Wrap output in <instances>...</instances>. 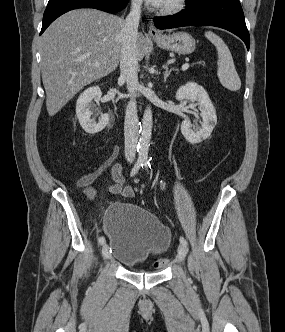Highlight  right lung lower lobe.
Returning <instances> with one entry per match:
<instances>
[{
    "mask_svg": "<svg viewBox=\"0 0 285 332\" xmlns=\"http://www.w3.org/2000/svg\"><path fill=\"white\" fill-rule=\"evenodd\" d=\"M127 0H49L40 35L60 15L77 8H95L108 13L121 11Z\"/></svg>",
    "mask_w": 285,
    "mask_h": 332,
    "instance_id": "1",
    "label": "right lung lower lobe"
}]
</instances>
